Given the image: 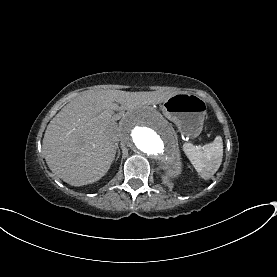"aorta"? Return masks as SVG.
I'll return each mask as SVG.
<instances>
[{"label":"aorta","mask_w":277,"mask_h":277,"mask_svg":"<svg viewBox=\"0 0 277 277\" xmlns=\"http://www.w3.org/2000/svg\"><path fill=\"white\" fill-rule=\"evenodd\" d=\"M123 142L136 155L143 156L170 174L181 170V157L173 128L158 113L140 109L124 121Z\"/></svg>","instance_id":"1"}]
</instances>
